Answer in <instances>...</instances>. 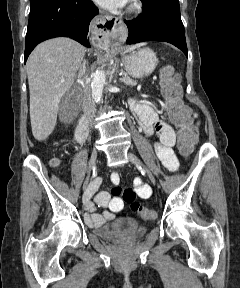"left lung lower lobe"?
Returning <instances> with one entry per match:
<instances>
[{
  "mask_svg": "<svg viewBox=\"0 0 240 288\" xmlns=\"http://www.w3.org/2000/svg\"><path fill=\"white\" fill-rule=\"evenodd\" d=\"M142 14L125 21L129 35L127 44L142 41H164L174 44L188 57L184 26L178 0H141Z\"/></svg>",
  "mask_w": 240,
  "mask_h": 288,
  "instance_id": "0a47b994",
  "label": "left lung lower lobe"
}]
</instances>
